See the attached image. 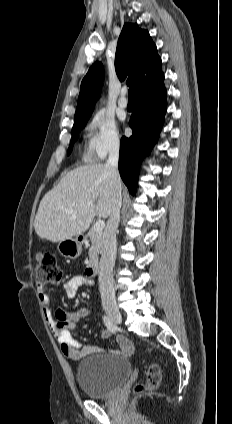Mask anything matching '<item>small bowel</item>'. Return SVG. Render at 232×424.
<instances>
[{
  "mask_svg": "<svg viewBox=\"0 0 232 424\" xmlns=\"http://www.w3.org/2000/svg\"><path fill=\"white\" fill-rule=\"evenodd\" d=\"M83 285H93V280L84 275H75L63 284L65 296L68 299H73L79 287ZM37 292L40 303L44 310L45 318L50 325L53 335L57 340L61 352L68 358L73 360L83 359L89 355L111 352L129 356L133 353L132 342L124 337L117 338L118 348L108 350L101 345H82L78 340L72 337L70 331L76 327V324L86 317L90 311L86 307L78 308L73 311L63 309L52 310V296L44 284H37ZM103 339L111 336V331L105 328L100 333Z\"/></svg>",
  "mask_w": 232,
  "mask_h": 424,
  "instance_id": "c3829d8e",
  "label": "small bowel"
}]
</instances>
